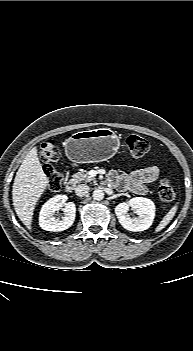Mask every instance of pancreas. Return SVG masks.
<instances>
[{"label":"pancreas","mask_w":193,"mask_h":351,"mask_svg":"<svg viewBox=\"0 0 193 351\" xmlns=\"http://www.w3.org/2000/svg\"><path fill=\"white\" fill-rule=\"evenodd\" d=\"M80 182H93V183H95L96 180H95V178L91 177L87 171H80V172L75 173L72 176L70 183H72L73 185H76L77 183H80Z\"/></svg>","instance_id":"1"}]
</instances>
